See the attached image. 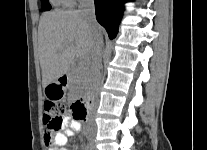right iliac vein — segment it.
Returning <instances> with one entry per match:
<instances>
[{
    "label": "right iliac vein",
    "mask_w": 207,
    "mask_h": 150,
    "mask_svg": "<svg viewBox=\"0 0 207 150\" xmlns=\"http://www.w3.org/2000/svg\"><path fill=\"white\" fill-rule=\"evenodd\" d=\"M91 149H92L91 147L88 148V150H91ZM92 150H93V149H92Z\"/></svg>",
    "instance_id": "right-iliac-vein-1"
}]
</instances>
